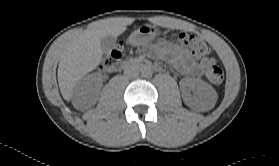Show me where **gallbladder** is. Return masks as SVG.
I'll return each instance as SVG.
<instances>
[{"label":"gallbladder","instance_id":"obj_1","mask_svg":"<svg viewBox=\"0 0 279 166\" xmlns=\"http://www.w3.org/2000/svg\"><path fill=\"white\" fill-rule=\"evenodd\" d=\"M116 46V37L108 35L101 39L100 47L102 52L106 55L109 54Z\"/></svg>","mask_w":279,"mask_h":166}]
</instances>
